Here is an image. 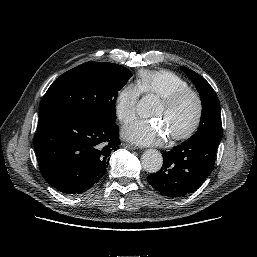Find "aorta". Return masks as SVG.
I'll return each mask as SVG.
<instances>
[{
    "instance_id": "1",
    "label": "aorta",
    "mask_w": 257,
    "mask_h": 257,
    "mask_svg": "<svg viewBox=\"0 0 257 257\" xmlns=\"http://www.w3.org/2000/svg\"><path fill=\"white\" fill-rule=\"evenodd\" d=\"M155 98L152 95L143 96L137 103V112L140 116L146 117L150 113ZM142 166L149 173L158 172L163 164V157L160 152L155 149L146 150L141 157Z\"/></svg>"
}]
</instances>
